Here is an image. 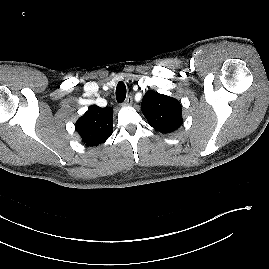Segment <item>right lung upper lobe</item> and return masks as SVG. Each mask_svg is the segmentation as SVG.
<instances>
[{"mask_svg": "<svg viewBox=\"0 0 269 269\" xmlns=\"http://www.w3.org/2000/svg\"><path fill=\"white\" fill-rule=\"evenodd\" d=\"M75 129L86 146H97L105 142L113 132V109L90 106L77 120Z\"/></svg>", "mask_w": 269, "mask_h": 269, "instance_id": "cb5924a9", "label": "right lung upper lobe"}]
</instances>
